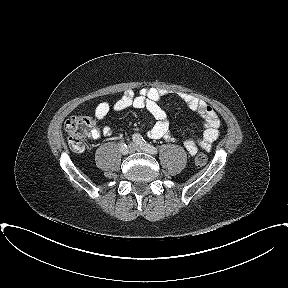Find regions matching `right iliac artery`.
<instances>
[{
  "label": "right iliac artery",
  "mask_w": 288,
  "mask_h": 288,
  "mask_svg": "<svg viewBox=\"0 0 288 288\" xmlns=\"http://www.w3.org/2000/svg\"><path fill=\"white\" fill-rule=\"evenodd\" d=\"M120 149L123 155H128L129 154V149L127 148L126 144L123 142H120Z\"/></svg>",
  "instance_id": "82829eb1"
}]
</instances>
